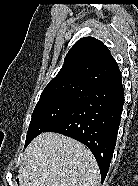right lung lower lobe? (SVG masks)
I'll return each instance as SVG.
<instances>
[{
  "label": "right lung lower lobe",
  "mask_w": 138,
  "mask_h": 186,
  "mask_svg": "<svg viewBox=\"0 0 138 186\" xmlns=\"http://www.w3.org/2000/svg\"><path fill=\"white\" fill-rule=\"evenodd\" d=\"M123 104L122 85L92 90L84 103L46 132L61 133L85 144L95 156L103 182L115 149Z\"/></svg>",
  "instance_id": "obj_1"
}]
</instances>
